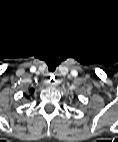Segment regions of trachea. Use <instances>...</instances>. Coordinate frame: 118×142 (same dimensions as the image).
<instances>
[{"mask_svg": "<svg viewBox=\"0 0 118 142\" xmlns=\"http://www.w3.org/2000/svg\"><path fill=\"white\" fill-rule=\"evenodd\" d=\"M48 67H49V72H54L55 71V69H56V65L55 64H53V65H48Z\"/></svg>", "mask_w": 118, "mask_h": 142, "instance_id": "obj_1", "label": "trachea"}]
</instances>
